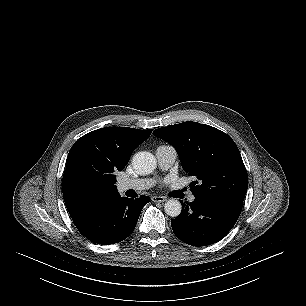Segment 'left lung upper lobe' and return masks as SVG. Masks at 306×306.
I'll return each instance as SVG.
<instances>
[{
  "instance_id": "5c2ea615",
  "label": "left lung upper lobe",
  "mask_w": 306,
  "mask_h": 306,
  "mask_svg": "<svg viewBox=\"0 0 306 306\" xmlns=\"http://www.w3.org/2000/svg\"><path fill=\"white\" fill-rule=\"evenodd\" d=\"M178 152L182 167L198 179L191 192L200 198H228L242 201L248 177L240 152L226 133L205 124L184 122L154 130Z\"/></svg>"
}]
</instances>
